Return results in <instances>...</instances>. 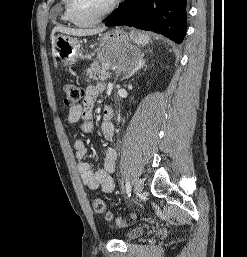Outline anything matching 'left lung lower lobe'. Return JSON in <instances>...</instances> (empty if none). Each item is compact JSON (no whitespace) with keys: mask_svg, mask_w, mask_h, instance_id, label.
<instances>
[{"mask_svg":"<svg viewBox=\"0 0 247 257\" xmlns=\"http://www.w3.org/2000/svg\"><path fill=\"white\" fill-rule=\"evenodd\" d=\"M118 25L153 31L181 43L187 28L186 0H126L106 22V26Z\"/></svg>","mask_w":247,"mask_h":257,"instance_id":"obj_1","label":"left lung lower lobe"}]
</instances>
